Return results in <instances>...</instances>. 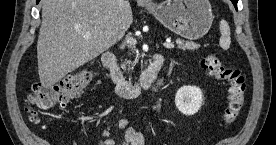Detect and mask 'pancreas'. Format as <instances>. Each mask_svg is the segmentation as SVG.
I'll return each instance as SVG.
<instances>
[{"label":"pancreas","instance_id":"pancreas-1","mask_svg":"<svg viewBox=\"0 0 276 145\" xmlns=\"http://www.w3.org/2000/svg\"><path fill=\"white\" fill-rule=\"evenodd\" d=\"M176 43L178 44L179 48L182 49L183 51H186V50L194 51V50H197L200 47V45L197 44V43L189 42V41L185 42V41H182V40H179V39L176 40ZM126 63L129 66L131 64H133L131 61H127ZM122 67L125 69V65H122Z\"/></svg>","mask_w":276,"mask_h":145}]
</instances>
